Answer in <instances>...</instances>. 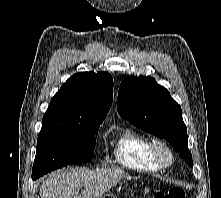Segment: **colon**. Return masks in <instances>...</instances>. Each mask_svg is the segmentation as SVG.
Listing matches in <instances>:
<instances>
[{
    "label": "colon",
    "instance_id": "1",
    "mask_svg": "<svg viewBox=\"0 0 221 198\" xmlns=\"http://www.w3.org/2000/svg\"><path fill=\"white\" fill-rule=\"evenodd\" d=\"M148 192L147 190L145 191ZM151 198H185V193L178 187H171L165 191H156Z\"/></svg>",
    "mask_w": 221,
    "mask_h": 198
}]
</instances>
